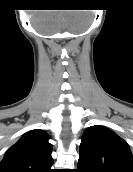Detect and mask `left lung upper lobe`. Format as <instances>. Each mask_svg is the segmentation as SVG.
I'll use <instances>...</instances> for the list:
<instances>
[{
    "mask_svg": "<svg viewBox=\"0 0 133 172\" xmlns=\"http://www.w3.org/2000/svg\"><path fill=\"white\" fill-rule=\"evenodd\" d=\"M79 172H133V155L125 140L107 127H88L82 136Z\"/></svg>",
    "mask_w": 133,
    "mask_h": 172,
    "instance_id": "5c2ea615",
    "label": "left lung upper lobe"
}]
</instances>
